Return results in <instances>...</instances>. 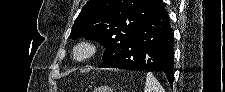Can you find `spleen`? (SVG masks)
Wrapping results in <instances>:
<instances>
[{
  "label": "spleen",
  "instance_id": "obj_1",
  "mask_svg": "<svg viewBox=\"0 0 225 92\" xmlns=\"http://www.w3.org/2000/svg\"><path fill=\"white\" fill-rule=\"evenodd\" d=\"M144 92H165L159 81L152 73H147Z\"/></svg>",
  "mask_w": 225,
  "mask_h": 92
}]
</instances>
